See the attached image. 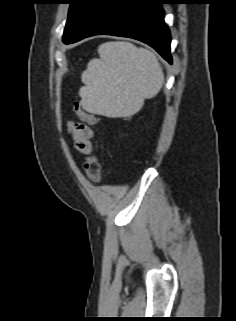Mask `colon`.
Wrapping results in <instances>:
<instances>
[{
	"mask_svg": "<svg viewBox=\"0 0 236 321\" xmlns=\"http://www.w3.org/2000/svg\"><path fill=\"white\" fill-rule=\"evenodd\" d=\"M74 111L77 116L89 124H96L99 121V118L89 112L84 111L78 104L74 105ZM84 170L87 178L94 182L99 183L101 180V165L99 158L96 153L92 154L85 162Z\"/></svg>",
	"mask_w": 236,
	"mask_h": 321,
	"instance_id": "5ec220e1",
	"label": "colon"
}]
</instances>
